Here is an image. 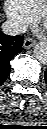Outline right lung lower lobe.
<instances>
[{"label": "right lung lower lobe", "mask_w": 47, "mask_h": 129, "mask_svg": "<svg viewBox=\"0 0 47 129\" xmlns=\"http://www.w3.org/2000/svg\"><path fill=\"white\" fill-rule=\"evenodd\" d=\"M22 45L21 36H9L0 32V85L7 79L10 73V61L21 52Z\"/></svg>", "instance_id": "98d812e1"}]
</instances>
